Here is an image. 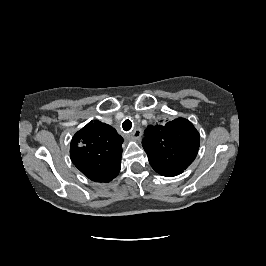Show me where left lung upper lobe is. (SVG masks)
Listing matches in <instances>:
<instances>
[{
	"instance_id": "obj_1",
	"label": "left lung upper lobe",
	"mask_w": 266,
	"mask_h": 266,
	"mask_svg": "<svg viewBox=\"0 0 266 266\" xmlns=\"http://www.w3.org/2000/svg\"><path fill=\"white\" fill-rule=\"evenodd\" d=\"M142 140L152 168L167 177L179 175L195 159L200 137L193 124L177 118L159 125H149Z\"/></svg>"
}]
</instances>
